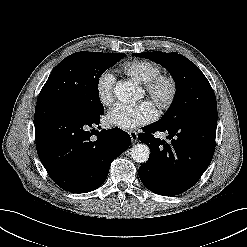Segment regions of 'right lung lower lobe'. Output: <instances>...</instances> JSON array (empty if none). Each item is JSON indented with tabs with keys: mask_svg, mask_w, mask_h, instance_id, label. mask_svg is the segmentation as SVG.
Returning a JSON list of instances; mask_svg holds the SVG:
<instances>
[{
	"mask_svg": "<svg viewBox=\"0 0 247 247\" xmlns=\"http://www.w3.org/2000/svg\"><path fill=\"white\" fill-rule=\"evenodd\" d=\"M34 121L40 161L59 187L73 193L100 187L111 162L131 143L119 128L102 130L93 141L95 129L88 130L100 123V116H84L55 101L37 102Z\"/></svg>",
	"mask_w": 247,
	"mask_h": 247,
	"instance_id": "1",
	"label": "right lung lower lobe"
}]
</instances>
